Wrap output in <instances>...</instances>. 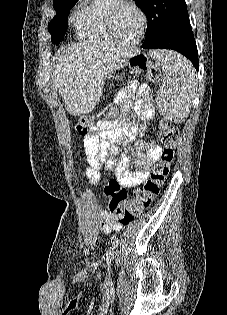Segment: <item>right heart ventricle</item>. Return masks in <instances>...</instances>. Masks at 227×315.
<instances>
[{
	"instance_id": "right-heart-ventricle-1",
	"label": "right heart ventricle",
	"mask_w": 227,
	"mask_h": 315,
	"mask_svg": "<svg viewBox=\"0 0 227 315\" xmlns=\"http://www.w3.org/2000/svg\"><path fill=\"white\" fill-rule=\"evenodd\" d=\"M113 0H84L73 13L72 23L79 36L94 44H111L105 27V16Z\"/></svg>"
}]
</instances>
